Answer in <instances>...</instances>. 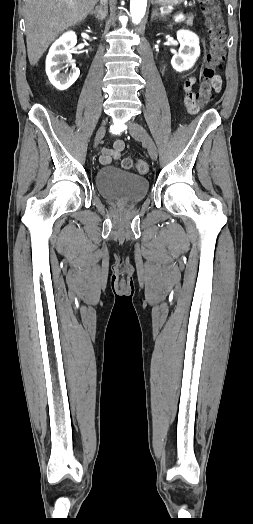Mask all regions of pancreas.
Returning <instances> with one entry per match:
<instances>
[{
  "label": "pancreas",
  "instance_id": "1",
  "mask_svg": "<svg viewBox=\"0 0 253 524\" xmlns=\"http://www.w3.org/2000/svg\"><path fill=\"white\" fill-rule=\"evenodd\" d=\"M193 19H194V16L190 15V16H187L186 18H184L181 21H184L188 26H192L193 25Z\"/></svg>",
  "mask_w": 253,
  "mask_h": 524
}]
</instances>
